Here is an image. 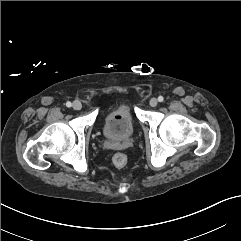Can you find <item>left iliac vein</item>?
<instances>
[{
    "label": "left iliac vein",
    "mask_w": 241,
    "mask_h": 241,
    "mask_svg": "<svg viewBox=\"0 0 241 241\" xmlns=\"http://www.w3.org/2000/svg\"><path fill=\"white\" fill-rule=\"evenodd\" d=\"M157 104H158V101H157L156 98H152V99L150 100V105H151L152 107H156Z\"/></svg>",
    "instance_id": "4c4485c4"
}]
</instances>
